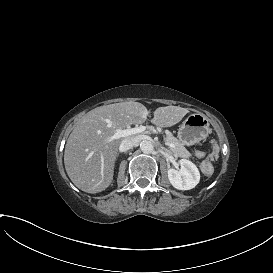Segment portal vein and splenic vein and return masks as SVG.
I'll use <instances>...</instances> for the list:
<instances>
[{
	"instance_id": "portal-vein-and-splenic-vein-1",
	"label": "portal vein and splenic vein",
	"mask_w": 273,
	"mask_h": 273,
	"mask_svg": "<svg viewBox=\"0 0 273 273\" xmlns=\"http://www.w3.org/2000/svg\"><path fill=\"white\" fill-rule=\"evenodd\" d=\"M142 131H144L143 126H139L137 128L125 129V130H117V132L114 135V138L119 139L121 137H128L134 134L141 133ZM164 145L170 147L171 149H174V144L171 142L165 141Z\"/></svg>"
}]
</instances>
